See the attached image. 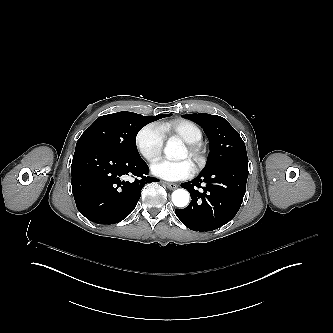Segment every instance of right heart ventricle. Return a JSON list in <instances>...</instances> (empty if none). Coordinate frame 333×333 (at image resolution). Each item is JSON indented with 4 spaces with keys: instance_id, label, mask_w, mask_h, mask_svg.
Returning <instances> with one entry per match:
<instances>
[{
    "instance_id": "1",
    "label": "right heart ventricle",
    "mask_w": 333,
    "mask_h": 333,
    "mask_svg": "<svg viewBox=\"0 0 333 333\" xmlns=\"http://www.w3.org/2000/svg\"><path fill=\"white\" fill-rule=\"evenodd\" d=\"M159 131L164 137L166 136V132L169 131L172 138L179 137L187 144L201 142L203 139L200 128L196 124L184 119L176 120L168 127L159 126Z\"/></svg>"
}]
</instances>
